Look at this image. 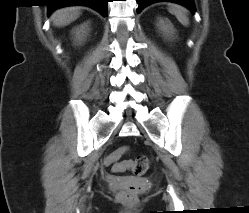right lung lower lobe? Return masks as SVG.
Masks as SVG:
<instances>
[{"label":"right lung lower lobe","instance_id":"obj_1","mask_svg":"<svg viewBox=\"0 0 249 213\" xmlns=\"http://www.w3.org/2000/svg\"><path fill=\"white\" fill-rule=\"evenodd\" d=\"M107 2L108 0H52L48 5V13L50 14L57 8L71 5H85L89 6L104 17L107 16Z\"/></svg>","mask_w":249,"mask_h":213}]
</instances>
